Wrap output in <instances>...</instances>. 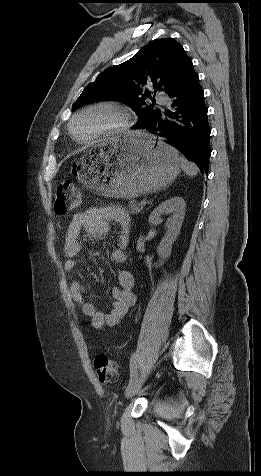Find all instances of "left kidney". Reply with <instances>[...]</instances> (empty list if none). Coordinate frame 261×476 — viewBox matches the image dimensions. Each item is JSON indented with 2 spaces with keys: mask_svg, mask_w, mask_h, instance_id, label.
Instances as JSON below:
<instances>
[{
  "mask_svg": "<svg viewBox=\"0 0 261 476\" xmlns=\"http://www.w3.org/2000/svg\"><path fill=\"white\" fill-rule=\"evenodd\" d=\"M186 203L182 197L174 196L162 202L149 216V223L159 225L162 222L161 216L172 214L170 221L166 223L167 231L157 247V254L160 257V264L171 255L172 244L180 233L185 216Z\"/></svg>",
  "mask_w": 261,
  "mask_h": 476,
  "instance_id": "left-kidney-1",
  "label": "left kidney"
}]
</instances>
